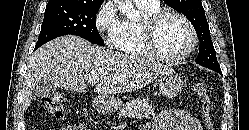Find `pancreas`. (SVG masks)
Listing matches in <instances>:
<instances>
[{"label":"pancreas","mask_w":249,"mask_h":130,"mask_svg":"<svg viewBox=\"0 0 249 130\" xmlns=\"http://www.w3.org/2000/svg\"><path fill=\"white\" fill-rule=\"evenodd\" d=\"M127 116L147 119L150 116H155L154 106L149 98L133 99L119 109L118 119Z\"/></svg>","instance_id":"pancreas-1"}]
</instances>
